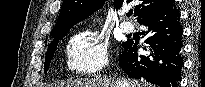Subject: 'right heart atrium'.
Wrapping results in <instances>:
<instances>
[{"instance_id":"1","label":"right heart atrium","mask_w":205,"mask_h":87,"mask_svg":"<svg viewBox=\"0 0 205 87\" xmlns=\"http://www.w3.org/2000/svg\"><path fill=\"white\" fill-rule=\"evenodd\" d=\"M67 69L80 75L103 71L109 63L107 42L92 32H80L66 46Z\"/></svg>"}]
</instances>
